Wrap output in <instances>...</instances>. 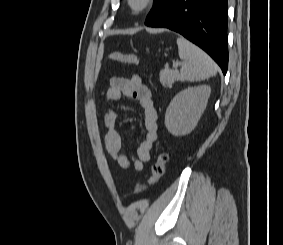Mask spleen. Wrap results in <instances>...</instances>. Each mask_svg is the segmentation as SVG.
<instances>
[{
	"instance_id": "spleen-1",
	"label": "spleen",
	"mask_w": 283,
	"mask_h": 245,
	"mask_svg": "<svg viewBox=\"0 0 283 245\" xmlns=\"http://www.w3.org/2000/svg\"><path fill=\"white\" fill-rule=\"evenodd\" d=\"M177 45L183 60L179 73L181 81H202L216 75L218 66L202 49L183 37L177 38Z\"/></svg>"
}]
</instances>
